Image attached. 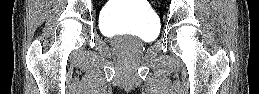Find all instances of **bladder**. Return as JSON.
Listing matches in <instances>:
<instances>
[{"instance_id":"31cf9c89","label":"bladder","mask_w":259,"mask_h":94,"mask_svg":"<svg viewBox=\"0 0 259 94\" xmlns=\"http://www.w3.org/2000/svg\"><path fill=\"white\" fill-rule=\"evenodd\" d=\"M117 25L132 30L138 37L144 39L154 29L155 22L148 9L135 11L120 19H116L114 10L108 11L102 23L103 32L112 35V31Z\"/></svg>"}]
</instances>
